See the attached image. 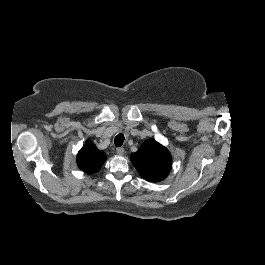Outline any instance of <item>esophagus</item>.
<instances>
[{
  "instance_id": "esophagus-1",
  "label": "esophagus",
  "mask_w": 265,
  "mask_h": 265,
  "mask_svg": "<svg viewBox=\"0 0 265 265\" xmlns=\"http://www.w3.org/2000/svg\"><path fill=\"white\" fill-rule=\"evenodd\" d=\"M116 152L119 156H122L124 154V148L123 147H117Z\"/></svg>"
}]
</instances>
